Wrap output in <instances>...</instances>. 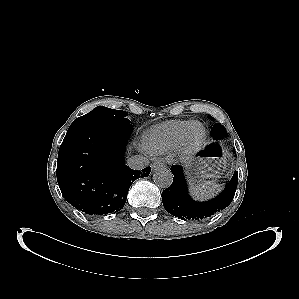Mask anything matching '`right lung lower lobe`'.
Instances as JSON below:
<instances>
[{
	"instance_id": "obj_1",
	"label": "right lung lower lobe",
	"mask_w": 299,
	"mask_h": 299,
	"mask_svg": "<svg viewBox=\"0 0 299 299\" xmlns=\"http://www.w3.org/2000/svg\"><path fill=\"white\" fill-rule=\"evenodd\" d=\"M131 124L79 127L68 130L60 146L57 181L65 200L89 215L120 211L130 185L147 177L124 162Z\"/></svg>"
}]
</instances>
